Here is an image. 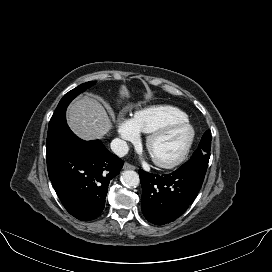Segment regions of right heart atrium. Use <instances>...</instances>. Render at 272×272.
Returning a JSON list of instances; mask_svg holds the SVG:
<instances>
[{
	"label": "right heart atrium",
	"mask_w": 272,
	"mask_h": 272,
	"mask_svg": "<svg viewBox=\"0 0 272 272\" xmlns=\"http://www.w3.org/2000/svg\"><path fill=\"white\" fill-rule=\"evenodd\" d=\"M118 133L124 141L136 143L139 140V132L131 119L121 118L119 120Z\"/></svg>",
	"instance_id": "obj_1"
}]
</instances>
